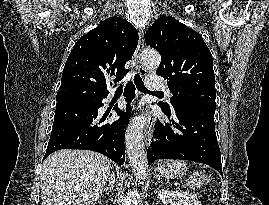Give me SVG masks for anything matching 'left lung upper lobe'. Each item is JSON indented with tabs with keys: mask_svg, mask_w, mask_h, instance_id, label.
I'll return each instance as SVG.
<instances>
[{
	"mask_svg": "<svg viewBox=\"0 0 269 205\" xmlns=\"http://www.w3.org/2000/svg\"><path fill=\"white\" fill-rule=\"evenodd\" d=\"M146 44L161 54L157 75L167 79L173 108L216 105L213 59L199 33L171 16H163L146 32ZM160 107L170 110L168 104L160 103Z\"/></svg>",
	"mask_w": 269,
	"mask_h": 205,
	"instance_id": "5c2ea615",
	"label": "left lung upper lobe"
}]
</instances>
